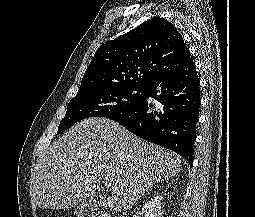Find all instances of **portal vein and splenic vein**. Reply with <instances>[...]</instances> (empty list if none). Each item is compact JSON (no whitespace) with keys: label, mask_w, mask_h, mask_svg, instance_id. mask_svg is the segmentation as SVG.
Segmentation results:
<instances>
[{"label":"portal vein and splenic vein","mask_w":255,"mask_h":217,"mask_svg":"<svg viewBox=\"0 0 255 217\" xmlns=\"http://www.w3.org/2000/svg\"><path fill=\"white\" fill-rule=\"evenodd\" d=\"M105 186L107 188H111L112 187V190L115 191L116 189L112 186L111 182H109V180H105Z\"/></svg>","instance_id":"1"}]
</instances>
